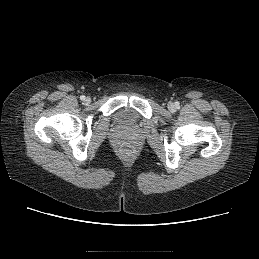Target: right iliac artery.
Returning <instances> with one entry per match:
<instances>
[{
    "label": "right iliac artery",
    "mask_w": 259,
    "mask_h": 259,
    "mask_svg": "<svg viewBox=\"0 0 259 259\" xmlns=\"http://www.w3.org/2000/svg\"><path fill=\"white\" fill-rule=\"evenodd\" d=\"M80 99H81V100H85V96L82 95V96L80 97Z\"/></svg>",
    "instance_id": "obj_1"
}]
</instances>
